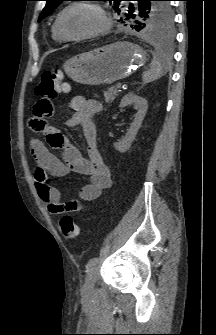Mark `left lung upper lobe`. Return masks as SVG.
<instances>
[{"label": "left lung upper lobe", "mask_w": 216, "mask_h": 335, "mask_svg": "<svg viewBox=\"0 0 216 335\" xmlns=\"http://www.w3.org/2000/svg\"><path fill=\"white\" fill-rule=\"evenodd\" d=\"M47 1L38 22L49 16L65 0ZM114 4L115 11L121 15L125 26L131 25L136 31L171 36L173 14L169 0H104ZM134 1L135 4L130 3Z\"/></svg>", "instance_id": "left-lung-upper-lobe-1"}]
</instances>
